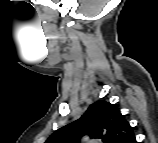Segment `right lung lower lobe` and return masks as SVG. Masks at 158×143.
<instances>
[{"label": "right lung lower lobe", "mask_w": 158, "mask_h": 143, "mask_svg": "<svg viewBox=\"0 0 158 143\" xmlns=\"http://www.w3.org/2000/svg\"><path fill=\"white\" fill-rule=\"evenodd\" d=\"M136 142V140H135V138H134V140L132 141V143H135Z\"/></svg>", "instance_id": "right-lung-lower-lobe-1"}]
</instances>
